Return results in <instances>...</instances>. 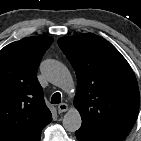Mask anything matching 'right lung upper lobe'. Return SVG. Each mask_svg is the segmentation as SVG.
<instances>
[{
	"mask_svg": "<svg viewBox=\"0 0 141 141\" xmlns=\"http://www.w3.org/2000/svg\"><path fill=\"white\" fill-rule=\"evenodd\" d=\"M49 36L15 41L0 50V141H40L51 122L36 74Z\"/></svg>",
	"mask_w": 141,
	"mask_h": 141,
	"instance_id": "obj_1",
	"label": "right lung upper lobe"
}]
</instances>
